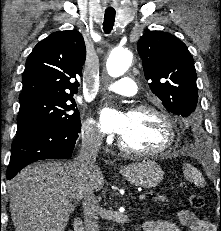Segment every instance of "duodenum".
<instances>
[{"instance_id":"410a0bca","label":"duodenum","mask_w":221,"mask_h":231,"mask_svg":"<svg viewBox=\"0 0 221 231\" xmlns=\"http://www.w3.org/2000/svg\"><path fill=\"white\" fill-rule=\"evenodd\" d=\"M74 231H84L82 220L80 218H76L74 221Z\"/></svg>"}]
</instances>
